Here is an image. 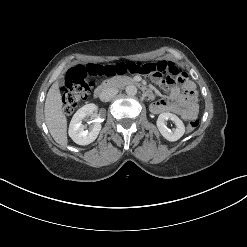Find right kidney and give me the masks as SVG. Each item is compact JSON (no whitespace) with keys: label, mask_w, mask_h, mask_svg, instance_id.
<instances>
[{"label":"right kidney","mask_w":247,"mask_h":247,"mask_svg":"<svg viewBox=\"0 0 247 247\" xmlns=\"http://www.w3.org/2000/svg\"><path fill=\"white\" fill-rule=\"evenodd\" d=\"M95 110H97L95 104H86L72 117L68 133L76 144L88 145L97 138L101 130V124L99 122L95 121L90 130H85V126L82 124L84 118L87 116H93Z\"/></svg>","instance_id":"1"}]
</instances>
